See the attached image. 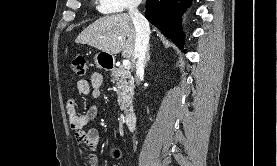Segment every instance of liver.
<instances>
[{"mask_svg": "<svg viewBox=\"0 0 277 166\" xmlns=\"http://www.w3.org/2000/svg\"><path fill=\"white\" fill-rule=\"evenodd\" d=\"M135 38L132 18L126 13H120L96 20L78 35L75 42L111 55L122 51V56L134 64Z\"/></svg>", "mask_w": 277, "mask_h": 166, "instance_id": "6515ba94", "label": "liver"}]
</instances>
